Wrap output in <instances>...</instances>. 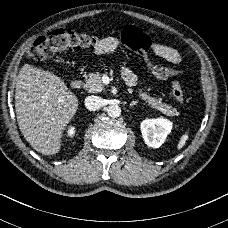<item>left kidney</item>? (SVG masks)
Instances as JSON below:
<instances>
[{"label": "left kidney", "mask_w": 228, "mask_h": 228, "mask_svg": "<svg viewBox=\"0 0 228 228\" xmlns=\"http://www.w3.org/2000/svg\"><path fill=\"white\" fill-rule=\"evenodd\" d=\"M173 123L163 117L145 119L141 122L142 137L147 146L159 148L171 132Z\"/></svg>", "instance_id": "5707ae66"}]
</instances>
